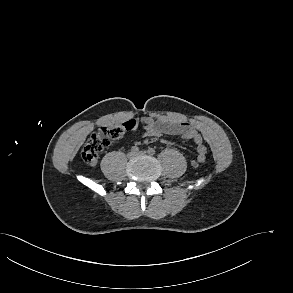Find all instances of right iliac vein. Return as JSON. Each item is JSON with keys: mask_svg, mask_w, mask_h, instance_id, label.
<instances>
[{"mask_svg": "<svg viewBox=\"0 0 293 293\" xmlns=\"http://www.w3.org/2000/svg\"><path fill=\"white\" fill-rule=\"evenodd\" d=\"M136 155H137L136 152L130 151V152L127 154V157L130 158V159H132V158H134Z\"/></svg>", "mask_w": 293, "mask_h": 293, "instance_id": "63e3f726", "label": "right iliac vein"}]
</instances>
